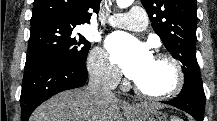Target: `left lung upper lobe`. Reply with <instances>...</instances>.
Segmentation results:
<instances>
[{
  "label": "left lung upper lobe",
  "mask_w": 217,
  "mask_h": 121,
  "mask_svg": "<svg viewBox=\"0 0 217 121\" xmlns=\"http://www.w3.org/2000/svg\"><path fill=\"white\" fill-rule=\"evenodd\" d=\"M166 49L180 61L185 80L202 84L196 60V0H141Z\"/></svg>",
  "instance_id": "5c2ea615"
}]
</instances>
